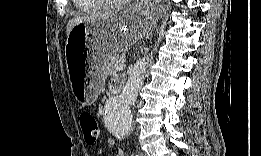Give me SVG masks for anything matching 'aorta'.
I'll use <instances>...</instances> for the list:
<instances>
[{
    "label": "aorta",
    "instance_id": "aorta-1",
    "mask_svg": "<svg viewBox=\"0 0 261 156\" xmlns=\"http://www.w3.org/2000/svg\"><path fill=\"white\" fill-rule=\"evenodd\" d=\"M145 59L136 61L120 95L110 97L104 104L103 123L109 134L116 138L128 136L132 130L131 106L135 103L146 74Z\"/></svg>",
    "mask_w": 261,
    "mask_h": 156
}]
</instances>
